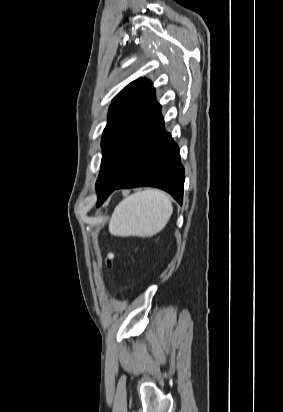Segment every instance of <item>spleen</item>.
<instances>
[{
    "instance_id": "spleen-1",
    "label": "spleen",
    "mask_w": 283,
    "mask_h": 412,
    "mask_svg": "<svg viewBox=\"0 0 283 412\" xmlns=\"http://www.w3.org/2000/svg\"><path fill=\"white\" fill-rule=\"evenodd\" d=\"M172 213V203L164 192L152 189L137 192L116 206L109 232L120 237H151L165 227Z\"/></svg>"
}]
</instances>
